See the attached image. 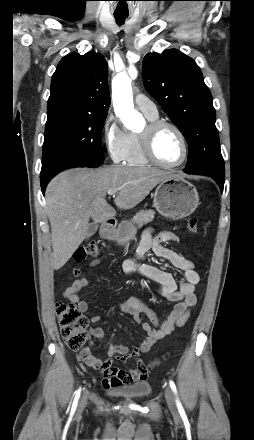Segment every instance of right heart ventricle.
<instances>
[{
	"mask_svg": "<svg viewBox=\"0 0 254 440\" xmlns=\"http://www.w3.org/2000/svg\"><path fill=\"white\" fill-rule=\"evenodd\" d=\"M146 117L149 121L158 119V115H146ZM125 162L130 166H147L150 164L143 153L140 134L131 133V144Z\"/></svg>",
	"mask_w": 254,
	"mask_h": 440,
	"instance_id": "e07e8e85",
	"label": "right heart ventricle"
}]
</instances>
